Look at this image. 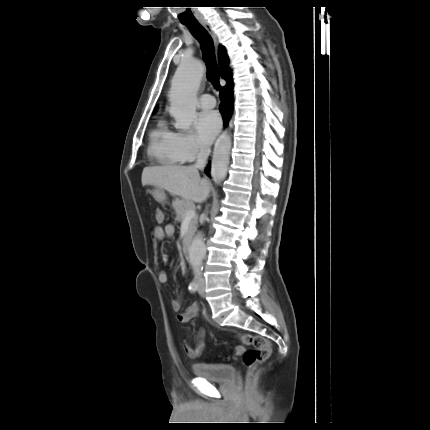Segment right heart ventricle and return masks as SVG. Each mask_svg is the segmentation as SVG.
<instances>
[{"instance_id": "1", "label": "right heart ventricle", "mask_w": 430, "mask_h": 430, "mask_svg": "<svg viewBox=\"0 0 430 430\" xmlns=\"http://www.w3.org/2000/svg\"><path fill=\"white\" fill-rule=\"evenodd\" d=\"M176 133L160 119L149 134L148 154L162 165H178L184 162L176 148Z\"/></svg>"}]
</instances>
